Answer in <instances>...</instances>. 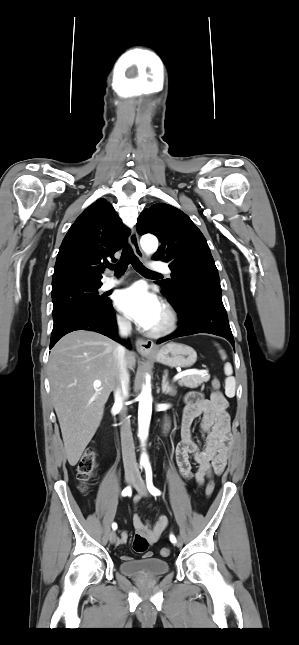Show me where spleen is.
<instances>
[{"instance_id": "obj_1", "label": "spleen", "mask_w": 299, "mask_h": 645, "mask_svg": "<svg viewBox=\"0 0 299 645\" xmlns=\"http://www.w3.org/2000/svg\"><path fill=\"white\" fill-rule=\"evenodd\" d=\"M220 354L223 360L226 359V354L223 350H220ZM224 372L227 376L225 380V394L228 397L232 398L235 396L236 381H235V378L232 376L233 369L230 363H226L224 365Z\"/></svg>"}]
</instances>
